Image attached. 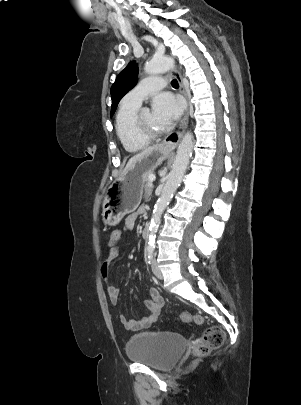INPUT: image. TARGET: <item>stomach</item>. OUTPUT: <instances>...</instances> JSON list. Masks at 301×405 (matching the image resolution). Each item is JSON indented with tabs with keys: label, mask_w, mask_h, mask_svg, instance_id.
Segmentation results:
<instances>
[{
	"label": "stomach",
	"mask_w": 301,
	"mask_h": 405,
	"mask_svg": "<svg viewBox=\"0 0 301 405\" xmlns=\"http://www.w3.org/2000/svg\"><path fill=\"white\" fill-rule=\"evenodd\" d=\"M160 145L135 161L108 189L103 201V217L108 224H117L139 206L146 179L171 153Z\"/></svg>",
	"instance_id": "1"
}]
</instances>
